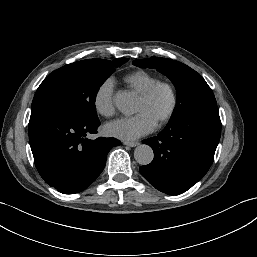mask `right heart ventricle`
I'll return each instance as SVG.
<instances>
[{
	"label": "right heart ventricle",
	"mask_w": 257,
	"mask_h": 257,
	"mask_svg": "<svg viewBox=\"0 0 257 257\" xmlns=\"http://www.w3.org/2000/svg\"><path fill=\"white\" fill-rule=\"evenodd\" d=\"M123 81L130 90L140 95L152 84L157 82L158 78L150 72L137 70L126 75L123 78Z\"/></svg>",
	"instance_id": "1"
}]
</instances>
